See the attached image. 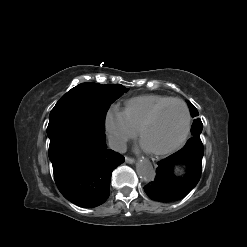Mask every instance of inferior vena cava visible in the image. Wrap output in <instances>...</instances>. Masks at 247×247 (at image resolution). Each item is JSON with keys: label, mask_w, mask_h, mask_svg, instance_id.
<instances>
[{"label": "inferior vena cava", "mask_w": 247, "mask_h": 247, "mask_svg": "<svg viewBox=\"0 0 247 247\" xmlns=\"http://www.w3.org/2000/svg\"><path fill=\"white\" fill-rule=\"evenodd\" d=\"M108 145L110 149L119 153H125L127 150L126 143L118 138H114V137L109 138Z\"/></svg>", "instance_id": "obj_1"}]
</instances>
